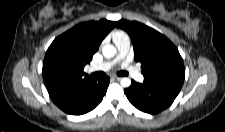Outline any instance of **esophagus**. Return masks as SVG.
Returning a JSON list of instances; mask_svg holds the SVG:
<instances>
[{"instance_id": "1", "label": "esophagus", "mask_w": 225, "mask_h": 132, "mask_svg": "<svg viewBox=\"0 0 225 132\" xmlns=\"http://www.w3.org/2000/svg\"><path fill=\"white\" fill-rule=\"evenodd\" d=\"M111 79H112L113 81H119L121 78L118 77V76H112Z\"/></svg>"}]
</instances>
